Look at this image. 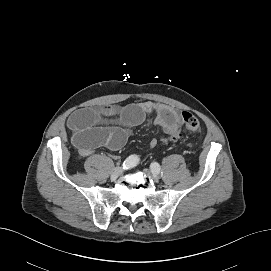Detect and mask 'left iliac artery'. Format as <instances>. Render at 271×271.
<instances>
[{
    "label": "left iliac artery",
    "instance_id": "44dca946",
    "mask_svg": "<svg viewBox=\"0 0 271 271\" xmlns=\"http://www.w3.org/2000/svg\"><path fill=\"white\" fill-rule=\"evenodd\" d=\"M150 168H151V171L155 174H159L161 171L160 165L156 162L151 163Z\"/></svg>",
    "mask_w": 271,
    "mask_h": 271
}]
</instances>
